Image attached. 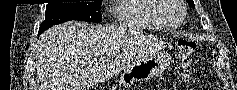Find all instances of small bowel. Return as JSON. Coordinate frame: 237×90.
Here are the masks:
<instances>
[{
  "label": "small bowel",
  "instance_id": "c3829d8e",
  "mask_svg": "<svg viewBox=\"0 0 237 90\" xmlns=\"http://www.w3.org/2000/svg\"><path fill=\"white\" fill-rule=\"evenodd\" d=\"M187 90H195V89H193V88H190V89H187Z\"/></svg>",
  "mask_w": 237,
  "mask_h": 90
}]
</instances>
